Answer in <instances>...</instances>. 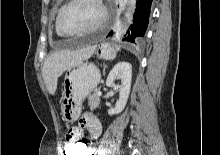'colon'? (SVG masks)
Instances as JSON below:
<instances>
[{
  "mask_svg": "<svg viewBox=\"0 0 220 155\" xmlns=\"http://www.w3.org/2000/svg\"><path fill=\"white\" fill-rule=\"evenodd\" d=\"M91 142L88 139H66L64 142V155H88Z\"/></svg>",
  "mask_w": 220,
  "mask_h": 155,
  "instance_id": "1",
  "label": "colon"
}]
</instances>
